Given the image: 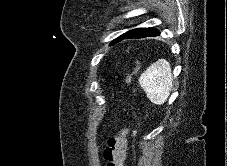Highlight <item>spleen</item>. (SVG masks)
<instances>
[{
  "label": "spleen",
  "mask_w": 227,
  "mask_h": 166,
  "mask_svg": "<svg viewBox=\"0 0 227 166\" xmlns=\"http://www.w3.org/2000/svg\"><path fill=\"white\" fill-rule=\"evenodd\" d=\"M172 83V70L166 59H159L151 64L139 78V84L148 99L156 105H162L167 101Z\"/></svg>",
  "instance_id": "obj_1"
}]
</instances>
